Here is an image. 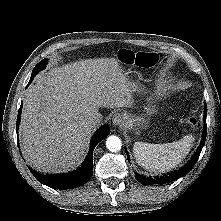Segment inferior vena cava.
Returning a JSON list of instances; mask_svg holds the SVG:
<instances>
[{
	"label": "inferior vena cava",
	"mask_w": 221,
	"mask_h": 221,
	"mask_svg": "<svg viewBox=\"0 0 221 221\" xmlns=\"http://www.w3.org/2000/svg\"><path fill=\"white\" fill-rule=\"evenodd\" d=\"M102 121V115L100 113L94 114L88 121L90 128H95Z\"/></svg>",
	"instance_id": "602c4592"
}]
</instances>
